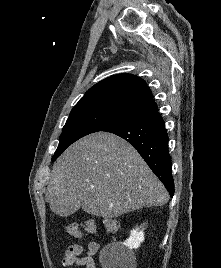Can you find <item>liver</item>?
I'll return each instance as SVG.
<instances>
[{"mask_svg": "<svg viewBox=\"0 0 221 268\" xmlns=\"http://www.w3.org/2000/svg\"><path fill=\"white\" fill-rule=\"evenodd\" d=\"M46 201L57 215L82 208L103 218L162 206L169 194L139 153L122 138L90 134L68 147L53 166Z\"/></svg>", "mask_w": 221, "mask_h": 268, "instance_id": "1", "label": "liver"}]
</instances>
